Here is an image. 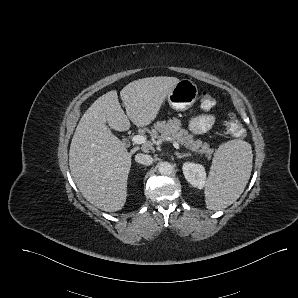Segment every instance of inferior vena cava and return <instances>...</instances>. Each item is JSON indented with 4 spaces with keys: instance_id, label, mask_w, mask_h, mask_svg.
I'll use <instances>...</instances> for the list:
<instances>
[{
    "instance_id": "obj_1",
    "label": "inferior vena cava",
    "mask_w": 298,
    "mask_h": 298,
    "mask_svg": "<svg viewBox=\"0 0 298 298\" xmlns=\"http://www.w3.org/2000/svg\"><path fill=\"white\" fill-rule=\"evenodd\" d=\"M135 161L143 165H151L153 158L151 155L138 153L135 155Z\"/></svg>"
}]
</instances>
